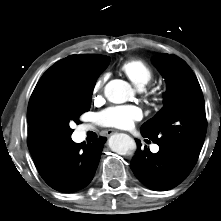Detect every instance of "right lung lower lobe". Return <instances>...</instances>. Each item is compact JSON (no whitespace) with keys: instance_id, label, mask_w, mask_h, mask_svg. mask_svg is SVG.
<instances>
[{"instance_id":"right-lung-lower-lobe-1","label":"right lung lower lobe","mask_w":221,"mask_h":221,"mask_svg":"<svg viewBox=\"0 0 221 221\" xmlns=\"http://www.w3.org/2000/svg\"><path fill=\"white\" fill-rule=\"evenodd\" d=\"M105 141V137H100L84 146L71 140L65 145L44 151L33 159L39 174L51 188L70 193L90 183Z\"/></svg>"}]
</instances>
